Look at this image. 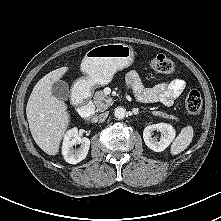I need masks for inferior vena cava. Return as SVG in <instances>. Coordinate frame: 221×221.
Segmentation results:
<instances>
[{"label": "inferior vena cava", "mask_w": 221, "mask_h": 221, "mask_svg": "<svg viewBox=\"0 0 221 221\" xmlns=\"http://www.w3.org/2000/svg\"><path fill=\"white\" fill-rule=\"evenodd\" d=\"M108 114L105 112V113H102L99 115V121H104L106 118H107Z\"/></svg>", "instance_id": "1"}]
</instances>
